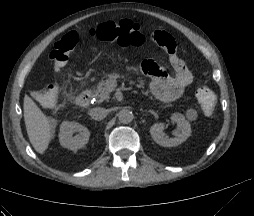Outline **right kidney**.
Returning a JSON list of instances; mask_svg holds the SVG:
<instances>
[{
	"instance_id": "ca27d5eb",
	"label": "right kidney",
	"mask_w": 254,
	"mask_h": 216,
	"mask_svg": "<svg viewBox=\"0 0 254 216\" xmlns=\"http://www.w3.org/2000/svg\"><path fill=\"white\" fill-rule=\"evenodd\" d=\"M74 133L77 134L73 135ZM89 137V130L77 122L64 121L60 126L59 142L61 146L70 150L77 151L84 147Z\"/></svg>"
}]
</instances>
